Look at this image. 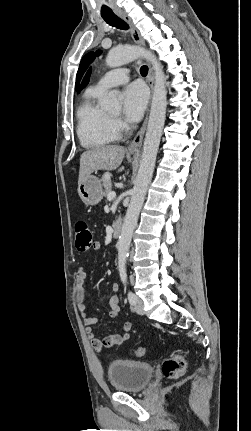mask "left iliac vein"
Masks as SVG:
<instances>
[{"instance_id":"obj_1","label":"left iliac vein","mask_w":251,"mask_h":431,"mask_svg":"<svg viewBox=\"0 0 251 431\" xmlns=\"http://www.w3.org/2000/svg\"><path fill=\"white\" fill-rule=\"evenodd\" d=\"M134 310L138 314H140V315L144 314V303H143V300L141 298H139L138 296H136V295H135Z\"/></svg>"}]
</instances>
